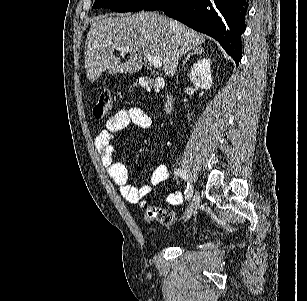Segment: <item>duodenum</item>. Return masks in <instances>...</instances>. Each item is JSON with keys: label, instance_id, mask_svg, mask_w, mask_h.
I'll list each match as a JSON object with an SVG mask.
<instances>
[{"label": "duodenum", "instance_id": "duodenum-1", "mask_svg": "<svg viewBox=\"0 0 307 301\" xmlns=\"http://www.w3.org/2000/svg\"><path fill=\"white\" fill-rule=\"evenodd\" d=\"M173 105V99L171 95H166L164 102V110L165 112H170Z\"/></svg>", "mask_w": 307, "mask_h": 301}]
</instances>
